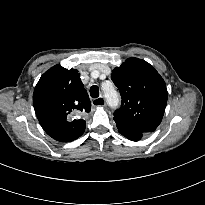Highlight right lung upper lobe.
<instances>
[{
	"label": "right lung upper lobe",
	"instance_id": "1",
	"mask_svg": "<svg viewBox=\"0 0 205 205\" xmlns=\"http://www.w3.org/2000/svg\"><path fill=\"white\" fill-rule=\"evenodd\" d=\"M33 106L42 128H55L53 138L69 142L83 134L86 123L78 116L90 112L91 102L78 70L55 65L38 81Z\"/></svg>",
	"mask_w": 205,
	"mask_h": 205
}]
</instances>
